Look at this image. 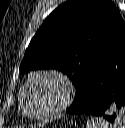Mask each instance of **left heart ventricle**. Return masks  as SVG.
Listing matches in <instances>:
<instances>
[{
    "mask_svg": "<svg viewBox=\"0 0 125 128\" xmlns=\"http://www.w3.org/2000/svg\"><path fill=\"white\" fill-rule=\"evenodd\" d=\"M63 95L59 82L52 78L40 77L35 79L24 97L26 111L38 114L49 111L57 106Z\"/></svg>",
    "mask_w": 125,
    "mask_h": 128,
    "instance_id": "b2bd125f",
    "label": "left heart ventricle"
}]
</instances>
